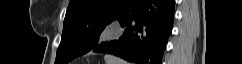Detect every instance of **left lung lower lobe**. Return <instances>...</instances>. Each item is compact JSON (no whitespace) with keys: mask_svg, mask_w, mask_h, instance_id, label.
<instances>
[{"mask_svg":"<svg viewBox=\"0 0 242 64\" xmlns=\"http://www.w3.org/2000/svg\"><path fill=\"white\" fill-rule=\"evenodd\" d=\"M175 0H132L114 21L124 28L116 40L91 51L113 54L136 64H161L174 22Z\"/></svg>","mask_w":242,"mask_h":64,"instance_id":"1","label":"left lung lower lobe"}]
</instances>
